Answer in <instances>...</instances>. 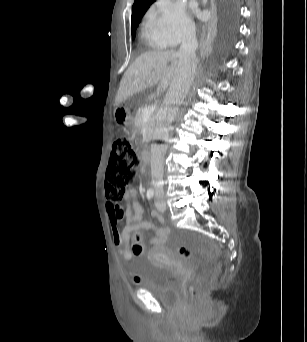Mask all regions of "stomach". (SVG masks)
<instances>
[{
    "label": "stomach",
    "instance_id": "stomach-1",
    "mask_svg": "<svg viewBox=\"0 0 307 342\" xmlns=\"http://www.w3.org/2000/svg\"><path fill=\"white\" fill-rule=\"evenodd\" d=\"M116 122L124 127L131 125V116L127 110L117 108L114 112Z\"/></svg>",
    "mask_w": 307,
    "mask_h": 342
}]
</instances>
